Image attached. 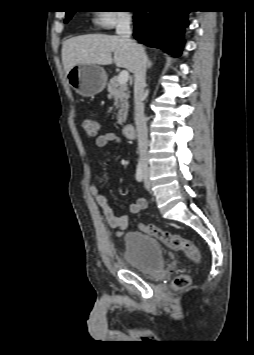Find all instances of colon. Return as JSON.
I'll use <instances>...</instances> for the list:
<instances>
[{
  "mask_svg": "<svg viewBox=\"0 0 254 355\" xmlns=\"http://www.w3.org/2000/svg\"><path fill=\"white\" fill-rule=\"evenodd\" d=\"M83 128L89 136H95L98 132L97 122L90 118L83 121ZM140 228L146 234L158 239L172 250L185 252L193 262L197 263L201 259L199 249L190 240L151 224H141ZM190 281L191 279L188 275H179L175 277L173 286L176 289H184L189 286Z\"/></svg>",
  "mask_w": 254,
  "mask_h": 355,
  "instance_id": "5ec220e1",
  "label": "colon"
}]
</instances>
